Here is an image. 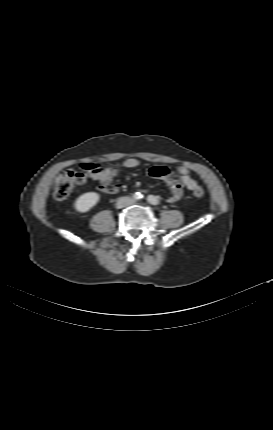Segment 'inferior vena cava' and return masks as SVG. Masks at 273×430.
<instances>
[{
  "mask_svg": "<svg viewBox=\"0 0 273 430\" xmlns=\"http://www.w3.org/2000/svg\"><path fill=\"white\" fill-rule=\"evenodd\" d=\"M125 199H126L125 205H131V204H133V203H134V200H133V199H131V198H127V197H125Z\"/></svg>",
  "mask_w": 273,
  "mask_h": 430,
  "instance_id": "602c4592",
  "label": "inferior vena cava"
}]
</instances>
